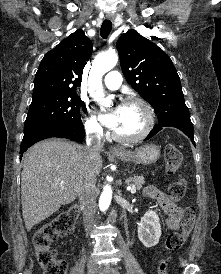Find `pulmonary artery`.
<instances>
[{
	"instance_id": "1",
	"label": "pulmonary artery",
	"mask_w": 221,
	"mask_h": 274,
	"mask_svg": "<svg viewBox=\"0 0 221 274\" xmlns=\"http://www.w3.org/2000/svg\"><path fill=\"white\" fill-rule=\"evenodd\" d=\"M122 78L119 72L111 71L104 78L105 86L110 90H116L120 87Z\"/></svg>"
}]
</instances>
